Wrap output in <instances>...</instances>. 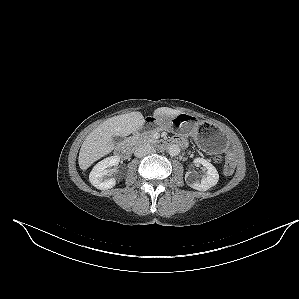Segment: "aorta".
I'll list each match as a JSON object with an SVG mask.
<instances>
[{
    "label": "aorta",
    "mask_w": 299,
    "mask_h": 299,
    "mask_svg": "<svg viewBox=\"0 0 299 299\" xmlns=\"http://www.w3.org/2000/svg\"><path fill=\"white\" fill-rule=\"evenodd\" d=\"M168 153L171 156H176L180 153V147L176 144H172L168 147Z\"/></svg>",
    "instance_id": "aorta-1"
}]
</instances>
